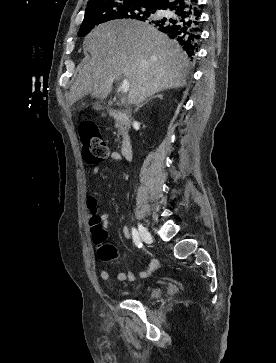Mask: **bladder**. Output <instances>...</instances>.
<instances>
[{
    "mask_svg": "<svg viewBox=\"0 0 276 363\" xmlns=\"http://www.w3.org/2000/svg\"><path fill=\"white\" fill-rule=\"evenodd\" d=\"M161 295V289L160 288H152L149 291L148 297L150 299L158 298Z\"/></svg>",
    "mask_w": 276,
    "mask_h": 363,
    "instance_id": "31cf9c89",
    "label": "bladder"
}]
</instances>
